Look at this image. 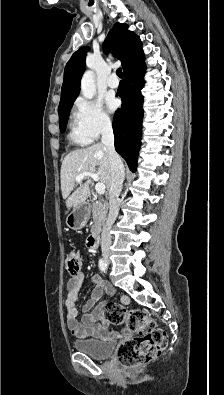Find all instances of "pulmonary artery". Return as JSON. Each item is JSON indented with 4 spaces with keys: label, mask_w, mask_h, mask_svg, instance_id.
I'll use <instances>...</instances> for the list:
<instances>
[{
    "label": "pulmonary artery",
    "mask_w": 224,
    "mask_h": 395,
    "mask_svg": "<svg viewBox=\"0 0 224 395\" xmlns=\"http://www.w3.org/2000/svg\"><path fill=\"white\" fill-rule=\"evenodd\" d=\"M106 84L110 88H117L118 85H119V81H118V79L116 78L115 75H111V76L108 77V79L106 81Z\"/></svg>",
    "instance_id": "e3ab8cb5"
}]
</instances>
